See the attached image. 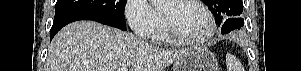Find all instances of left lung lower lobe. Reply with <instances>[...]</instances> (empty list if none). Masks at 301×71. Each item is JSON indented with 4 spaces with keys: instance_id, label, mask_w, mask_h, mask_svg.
Here are the masks:
<instances>
[{
    "instance_id": "1",
    "label": "left lung lower lobe",
    "mask_w": 301,
    "mask_h": 71,
    "mask_svg": "<svg viewBox=\"0 0 301 71\" xmlns=\"http://www.w3.org/2000/svg\"><path fill=\"white\" fill-rule=\"evenodd\" d=\"M222 24L221 33L226 34L234 29H240L244 25V20L241 17H232L227 19L224 23L222 22Z\"/></svg>"
}]
</instances>
